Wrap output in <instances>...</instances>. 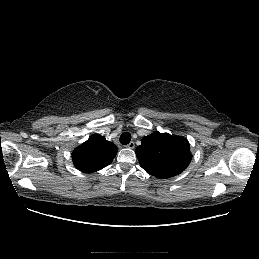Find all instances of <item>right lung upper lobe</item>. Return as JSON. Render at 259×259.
<instances>
[{"label": "right lung upper lobe", "mask_w": 259, "mask_h": 259, "mask_svg": "<svg viewBox=\"0 0 259 259\" xmlns=\"http://www.w3.org/2000/svg\"><path fill=\"white\" fill-rule=\"evenodd\" d=\"M117 147L103 136L94 134L72 153L74 166L85 173H92L108 166L117 154Z\"/></svg>", "instance_id": "1"}]
</instances>
